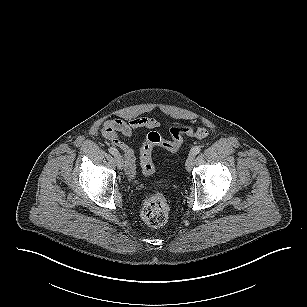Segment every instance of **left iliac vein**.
I'll list each match as a JSON object with an SVG mask.
<instances>
[{
    "label": "left iliac vein",
    "mask_w": 307,
    "mask_h": 307,
    "mask_svg": "<svg viewBox=\"0 0 307 307\" xmlns=\"http://www.w3.org/2000/svg\"><path fill=\"white\" fill-rule=\"evenodd\" d=\"M195 161V155L190 154L186 160V170L190 172L193 169Z\"/></svg>",
    "instance_id": "obj_1"
}]
</instances>
